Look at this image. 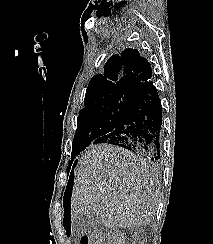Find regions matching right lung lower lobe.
I'll list each match as a JSON object with an SVG mask.
<instances>
[{"mask_svg":"<svg viewBox=\"0 0 213 244\" xmlns=\"http://www.w3.org/2000/svg\"><path fill=\"white\" fill-rule=\"evenodd\" d=\"M161 128L162 106L157 89L150 82L132 100L117 127L92 143L120 146L147 160L156 161L160 159ZM72 186L73 171L66 188L68 195Z\"/></svg>","mask_w":213,"mask_h":244,"instance_id":"98d812e1","label":"right lung lower lobe"}]
</instances>
